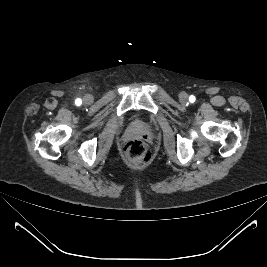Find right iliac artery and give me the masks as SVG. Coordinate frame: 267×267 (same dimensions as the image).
I'll list each match as a JSON object with an SVG mask.
<instances>
[{"label": "right iliac artery", "mask_w": 267, "mask_h": 267, "mask_svg": "<svg viewBox=\"0 0 267 267\" xmlns=\"http://www.w3.org/2000/svg\"><path fill=\"white\" fill-rule=\"evenodd\" d=\"M75 103H76V105H81L82 101H81V99H77V100L75 101Z\"/></svg>", "instance_id": "82829eb1"}]
</instances>
